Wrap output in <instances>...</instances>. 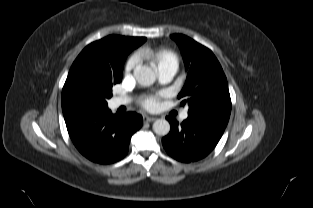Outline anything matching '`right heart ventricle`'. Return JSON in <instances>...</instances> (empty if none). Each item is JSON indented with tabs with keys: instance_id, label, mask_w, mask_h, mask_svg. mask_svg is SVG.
Instances as JSON below:
<instances>
[{
	"instance_id": "right-heart-ventricle-1",
	"label": "right heart ventricle",
	"mask_w": 313,
	"mask_h": 208,
	"mask_svg": "<svg viewBox=\"0 0 313 208\" xmlns=\"http://www.w3.org/2000/svg\"><path fill=\"white\" fill-rule=\"evenodd\" d=\"M142 54L150 59L157 69H160L166 65H175L178 67L177 56L165 49H143Z\"/></svg>"
}]
</instances>
